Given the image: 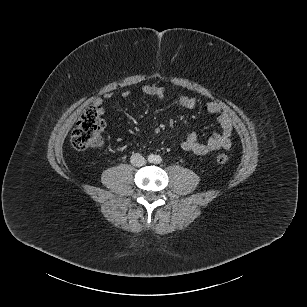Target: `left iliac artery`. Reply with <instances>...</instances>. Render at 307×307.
Masks as SVG:
<instances>
[{"label": "left iliac artery", "instance_id": "obj_1", "mask_svg": "<svg viewBox=\"0 0 307 307\" xmlns=\"http://www.w3.org/2000/svg\"><path fill=\"white\" fill-rule=\"evenodd\" d=\"M156 163H160L162 161L161 157L160 156H157L156 159H155Z\"/></svg>", "mask_w": 307, "mask_h": 307}]
</instances>
